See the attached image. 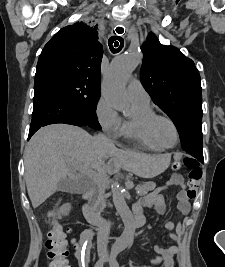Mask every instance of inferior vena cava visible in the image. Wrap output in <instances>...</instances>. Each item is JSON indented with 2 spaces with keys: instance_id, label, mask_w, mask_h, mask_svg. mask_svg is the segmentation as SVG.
<instances>
[{
  "instance_id": "obj_1",
  "label": "inferior vena cava",
  "mask_w": 225,
  "mask_h": 267,
  "mask_svg": "<svg viewBox=\"0 0 225 267\" xmlns=\"http://www.w3.org/2000/svg\"><path fill=\"white\" fill-rule=\"evenodd\" d=\"M95 140L102 144H113L111 139L105 135V134H98L95 136ZM106 179V177L102 174H100L96 179V190H97V202L103 204V196H102V188H103V182ZM108 241V235L105 232H102L98 238V243L102 246H105Z\"/></svg>"
}]
</instances>
